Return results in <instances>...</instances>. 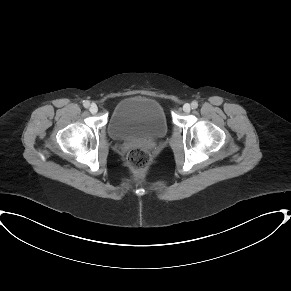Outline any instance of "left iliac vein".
<instances>
[{"label":"left iliac vein","mask_w":291,"mask_h":291,"mask_svg":"<svg viewBox=\"0 0 291 291\" xmlns=\"http://www.w3.org/2000/svg\"><path fill=\"white\" fill-rule=\"evenodd\" d=\"M190 110H191V106H190V104L186 103V104L183 105V111H184L185 113L190 112Z\"/></svg>","instance_id":"1"}]
</instances>
